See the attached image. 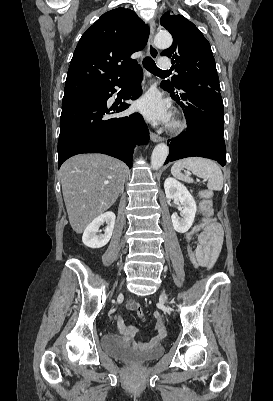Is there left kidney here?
Returning <instances> with one entry per match:
<instances>
[{
	"mask_svg": "<svg viewBox=\"0 0 273 401\" xmlns=\"http://www.w3.org/2000/svg\"><path fill=\"white\" fill-rule=\"evenodd\" d=\"M165 194L167 198H178L182 205V211H180V215H182V219L178 217L177 213L172 215V225L177 231V233H187L190 227H192L197 211L196 203L192 194H190L188 188L176 180V178H166L164 182Z\"/></svg>",
	"mask_w": 273,
	"mask_h": 401,
	"instance_id": "5707ae66",
	"label": "left kidney"
}]
</instances>
